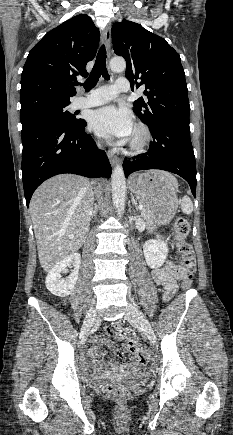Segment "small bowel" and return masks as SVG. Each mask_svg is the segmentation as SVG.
I'll list each match as a JSON object with an SVG mask.
<instances>
[{
  "label": "small bowel",
  "mask_w": 233,
  "mask_h": 435,
  "mask_svg": "<svg viewBox=\"0 0 233 435\" xmlns=\"http://www.w3.org/2000/svg\"><path fill=\"white\" fill-rule=\"evenodd\" d=\"M189 273L187 270L171 261H167L164 265L155 269L152 272L154 282L164 288L163 300L169 301L177 292V280L187 277ZM101 347H107L109 352L119 354V351L108 336H102L95 339L93 346L84 358L87 365V372L89 374H96L99 372H129L134 375H141L145 369L144 358L136 352L129 351L126 345L123 350L129 351L132 354L131 361L127 363H120L115 360H110L107 363H101V359L106 355V352L101 350Z\"/></svg>",
  "instance_id": "1"
}]
</instances>
